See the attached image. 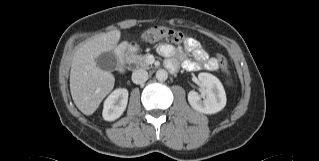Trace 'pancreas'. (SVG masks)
I'll return each instance as SVG.
<instances>
[{"label":"pancreas","mask_w":319,"mask_h":161,"mask_svg":"<svg viewBox=\"0 0 319 161\" xmlns=\"http://www.w3.org/2000/svg\"><path fill=\"white\" fill-rule=\"evenodd\" d=\"M126 60L129 63H134L137 68L149 69L150 65L146 61V55H137L135 53H130L127 55Z\"/></svg>","instance_id":"1"}]
</instances>
